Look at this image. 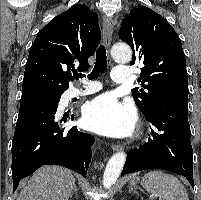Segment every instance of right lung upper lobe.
I'll list each match as a JSON object with an SVG mask.
<instances>
[{
	"label": "right lung upper lobe",
	"mask_w": 201,
	"mask_h": 200,
	"mask_svg": "<svg viewBox=\"0 0 201 200\" xmlns=\"http://www.w3.org/2000/svg\"><path fill=\"white\" fill-rule=\"evenodd\" d=\"M98 16L86 5H73L39 33L30 49L23 96L62 94L73 78L75 64L86 70L87 58L100 42Z\"/></svg>",
	"instance_id": "right-lung-upper-lobe-1"
}]
</instances>
